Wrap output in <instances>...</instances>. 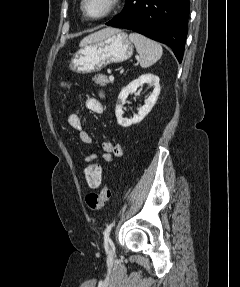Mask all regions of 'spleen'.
<instances>
[{
  "mask_svg": "<svg viewBox=\"0 0 240 287\" xmlns=\"http://www.w3.org/2000/svg\"><path fill=\"white\" fill-rule=\"evenodd\" d=\"M129 39L134 43L137 52L140 55V66L148 68L156 63L163 54L162 46L139 33L132 32Z\"/></svg>",
  "mask_w": 240,
  "mask_h": 287,
  "instance_id": "spleen-1",
  "label": "spleen"
}]
</instances>
